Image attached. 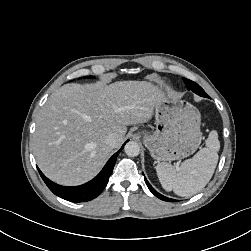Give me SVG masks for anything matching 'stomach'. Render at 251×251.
<instances>
[{
  "mask_svg": "<svg viewBox=\"0 0 251 251\" xmlns=\"http://www.w3.org/2000/svg\"><path fill=\"white\" fill-rule=\"evenodd\" d=\"M156 130L142 132L143 141L157 161L186 158L199 147L202 139L201 116L190 103L165 95L155 107Z\"/></svg>",
  "mask_w": 251,
  "mask_h": 251,
  "instance_id": "obj_1",
  "label": "stomach"
}]
</instances>
